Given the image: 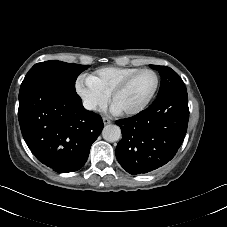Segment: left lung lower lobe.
I'll return each instance as SVG.
<instances>
[{
    "label": "left lung lower lobe",
    "instance_id": "left-lung-lower-lobe-1",
    "mask_svg": "<svg viewBox=\"0 0 227 227\" xmlns=\"http://www.w3.org/2000/svg\"><path fill=\"white\" fill-rule=\"evenodd\" d=\"M188 120L187 91H170L157 96L146 110L117 120L122 132L116 147L118 162L132 175L165 165L181 146Z\"/></svg>",
    "mask_w": 227,
    "mask_h": 227
}]
</instances>
